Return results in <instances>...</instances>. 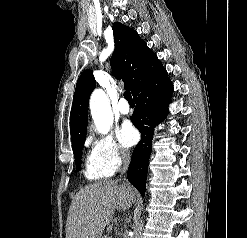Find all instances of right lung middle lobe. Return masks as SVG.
Wrapping results in <instances>:
<instances>
[{
	"label": "right lung middle lobe",
	"mask_w": 247,
	"mask_h": 238,
	"mask_svg": "<svg viewBox=\"0 0 247 238\" xmlns=\"http://www.w3.org/2000/svg\"><path fill=\"white\" fill-rule=\"evenodd\" d=\"M85 138L73 143V153L75 155V162L77 170H81V156H82V149L84 146Z\"/></svg>",
	"instance_id": "dd1d6c3e"
}]
</instances>
